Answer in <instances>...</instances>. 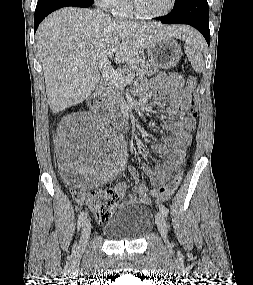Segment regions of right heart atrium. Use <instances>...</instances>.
<instances>
[{"label":"right heart atrium","instance_id":"d8ad5b80","mask_svg":"<svg viewBox=\"0 0 253 285\" xmlns=\"http://www.w3.org/2000/svg\"><path fill=\"white\" fill-rule=\"evenodd\" d=\"M117 0H95L99 8L103 10H112Z\"/></svg>","mask_w":253,"mask_h":285}]
</instances>
